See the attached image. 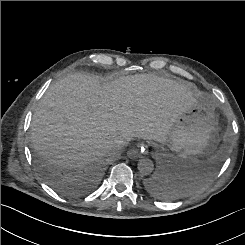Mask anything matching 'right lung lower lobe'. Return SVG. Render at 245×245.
Instances as JSON below:
<instances>
[{
  "label": "right lung lower lobe",
  "instance_id": "1",
  "mask_svg": "<svg viewBox=\"0 0 245 245\" xmlns=\"http://www.w3.org/2000/svg\"><path fill=\"white\" fill-rule=\"evenodd\" d=\"M48 180L51 186L60 194L67 197H75L85 192L87 184L74 186L72 180L65 175L48 172Z\"/></svg>",
  "mask_w": 245,
  "mask_h": 245
}]
</instances>
